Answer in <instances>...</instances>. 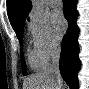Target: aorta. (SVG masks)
I'll list each match as a JSON object with an SVG mask.
<instances>
[{"instance_id": "762f6f07", "label": "aorta", "mask_w": 89, "mask_h": 89, "mask_svg": "<svg viewBox=\"0 0 89 89\" xmlns=\"http://www.w3.org/2000/svg\"><path fill=\"white\" fill-rule=\"evenodd\" d=\"M32 5H33L34 10L43 11V9H44L43 0H33Z\"/></svg>"}]
</instances>
